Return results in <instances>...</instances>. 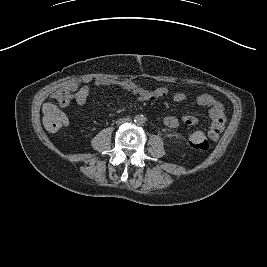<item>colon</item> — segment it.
Returning <instances> with one entry per match:
<instances>
[{
    "mask_svg": "<svg viewBox=\"0 0 267 267\" xmlns=\"http://www.w3.org/2000/svg\"><path fill=\"white\" fill-rule=\"evenodd\" d=\"M43 122L47 130L55 132L66 124L65 114L52 102H47L42 107ZM210 137L203 132H197L190 138V143L197 150H207L210 147Z\"/></svg>",
    "mask_w": 267,
    "mask_h": 267,
    "instance_id": "obj_1",
    "label": "colon"
}]
</instances>
